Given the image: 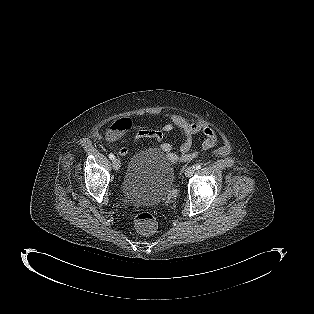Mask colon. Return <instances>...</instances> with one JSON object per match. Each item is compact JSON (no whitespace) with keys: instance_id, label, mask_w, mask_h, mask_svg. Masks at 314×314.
<instances>
[{"instance_id":"obj_1","label":"colon","mask_w":314,"mask_h":314,"mask_svg":"<svg viewBox=\"0 0 314 314\" xmlns=\"http://www.w3.org/2000/svg\"><path fill=\"white\" fill-rule=\"evenodd\" d=\"M130 126L131 123L128 119H120L111 125L108 135L111 138H116L128 130ZM134 225L136 230L143 236H151L156 230V220L149 212L137 214L134 219Z\"/></svg>"}]
</instances>
